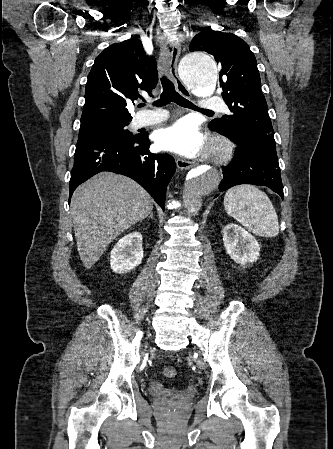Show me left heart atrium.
I'll return each mask as SVG.
<instances>
[{"label":"left heart atrium","instance_id":"39dd6f15","mask_svg":"<svg viewBox=\"0 0 333 449\" xmlns=\"http://www.w3.org/2000/svg\"><path fill=\"white\" fill-rule=\"evenodd\" d=\"M157 144L185 157H195L204 148V137L188 119H181L169 127L160 129L155 135Z\"/></svg>","mask_w":333,"mask_h":449}]
</instances>
